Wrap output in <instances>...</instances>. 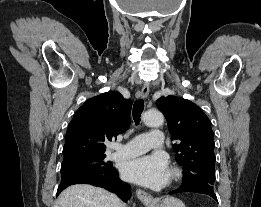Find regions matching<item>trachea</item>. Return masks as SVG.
<instances>
[{
  "label": "trachea",
  "instance_id": "obj_1",
  "mask_svg": "<svg viewBox=\"0 0 261 207\" xmlns=\"http://www.w3.org/2000/svg\"><path fill=\"white\" fill-rule=\"evenodd\" d=\"M143 110H144V100L143 99L137 100L133 105V113H132L133 119L136 124L139 123L140 116Z\"/></svg>",
  "mask_w": 261,
  "mask_h": 207
}]
</instances>
